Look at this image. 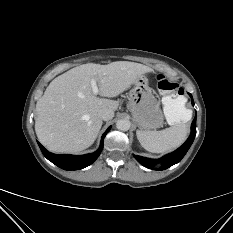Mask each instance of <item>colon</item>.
Returning <instances> with one entry per match:
<instances>
[{"label": "colon", "instance_id": "obj_1", "mask_svg": "<svg viewBox=\"0 0 233 233\" xmlns=\"http://www.w3.org/2000/svg\"><path fill=\"white\" fill-rule=\"evenodd\" d=\"M158 88L163 94V108L169 123L184 125L191 119V110L188 107L183 89L176 82L168 80L163 75L157 78Z\"/></svg>", "mask_w": 233, "mask_h": 233}]
</instances>
